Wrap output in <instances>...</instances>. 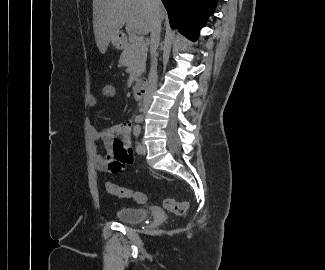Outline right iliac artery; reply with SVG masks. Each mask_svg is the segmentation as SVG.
<instances>
[{
	"label": "right iliac artery",
	"mask_w": 325,
	"mask_h": 270,
	"mask_svg": "<svg viewBox=\"0 0 325 270\" xmlns=\"http://www.w3.org/2000/svg\"><path fill=\"white\" fill-rule=\"evenodd\" d=\"M141 121H142V117L141 116H136L135 122L140 123Z\"/></svg>",
	"instance_id": "1"
}]
</instances>
